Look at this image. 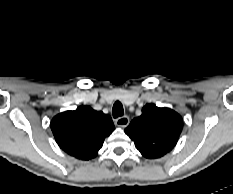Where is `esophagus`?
I'll list each match as a JSON object with an SVG mask.
<instances>
[{"mask_svg":"<svg viewBox=\"0 0 233 194\" xmlns=\"http://www.w3.org/2000/svg\"><path fill=\"white\" fill-rule=\"evenodd\" d=\"M116 124L119 127L125 128L129 124L128 116H122L116 119Z\"/></svg>","mask_w":233,"mask_h":194,"instance_id":"esophagus-1","label":"esophagus"}]
</instances>
